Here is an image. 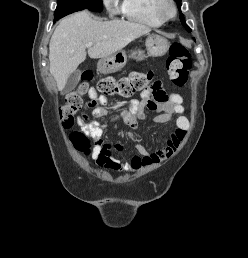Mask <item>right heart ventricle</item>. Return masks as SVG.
<instances>
[{"mask_svg":"<svg viewBox=\"0 0 248 258\" xmlns=\"http://www.w3.org/2000/svg\"><path fill=\"white\" fill-rule=\"evenodd\" d=\"M156 2L157 0H122L121 10L130 21L159 27L165 20L156 12Z\"/></svg>","mask_w":248,"mask_h":258,"instance_id":"right-heart-ventricle-1","label":"right heart ventricle"}]
</instances>
